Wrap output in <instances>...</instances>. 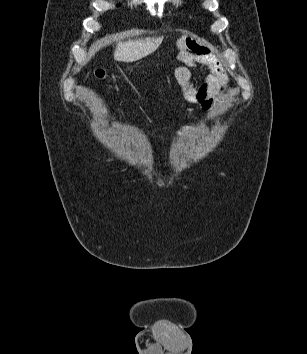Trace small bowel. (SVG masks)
<instances>
[{"mask_svg":"<svg viewBox=\"0 0 307 354\" xmlns=\"http://www.w3.org/2000/svg\"><path fill=\"white\" fill-rule=\"evenodd\" d=\"M178 60L181 65L175 68L174 77L184 98L193 103L202 101L207 106L209 101H206V98L209 90L225 77L219 59L208 46L195 40L183 39L178 45ZM194 66H203L209 70V74L199 87L192 82L190 68Z\"/></svg>","mask_w":307,"mask_h":354,"instance_id":"c3829d8e","label":"small bowel"}]
</instances>
